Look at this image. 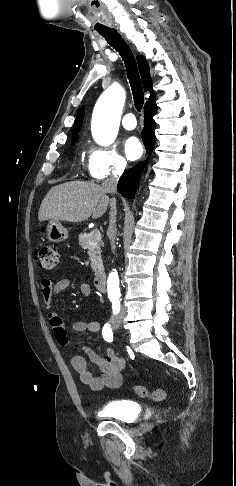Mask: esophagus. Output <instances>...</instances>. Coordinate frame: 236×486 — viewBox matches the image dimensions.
<instances>
[{
	"instance_id": "34e87169",
	"label": "esophagus",
	"mask_w": 236,
	"mask_h": 486,
	"mask_svg": "<svg viewBox=\"0 0 236 486\" xmlns=\"http://www.w3.org/2000/svg\"><path fill=\"white\" fill-rule=\"evenodd\" d=\"M145 159V155L143 156V160Z\"/></svg>"
}]
</instances>
